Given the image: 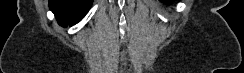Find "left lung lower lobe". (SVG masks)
Masks as SVG:
<instances>
[{"label":"left lung lower lobe","instance_id":"1","mask_svg":"<svg viewBox=\"0 0 244 73\" xmlns=\"http://www.w3.org/2000/svg\"><path fill=\"white\" fill-rule=\"evenodd\" d=\"M161 1L168 4V5L172 3V0H161Z\"/></svg>","mask_w":244,"mask_h":73}]
</instances>
